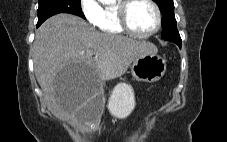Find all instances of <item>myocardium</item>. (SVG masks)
<instances>
[{
    "label": "myocardium",
    "instance_id": "f54148a6",
    "mask_svg": "<svg viewBox=\"0 0 227 142\" xmlns=\"http://www.w3.org/2000/svg\"><path fill=\"white\" fill-rule=\"evenodd\" d=\"M136 0H121L120 3L117 6V16H118V21L122 29L127 32L130 35H133L138 38H149L153 35H155L159 30L161 29L162 26V12L157 4L156 1L154 0H146L155 10L156 16H157V23L156 26L153 30L147 33H139L136 30L133 29V27L130 24L129 21V10L131 5L135 2Z\"/></svg>",
    "mask_w": 227,
    "mask_h": 142
}]
</instances>
